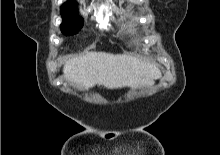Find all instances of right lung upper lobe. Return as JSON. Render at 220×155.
Masks as SVG:
<instances>
[{
    "instance_id": "1",
    "label": "right lung upper lobe",
    "mask_w": 220,
    "mask_h": 155,
    "mask_svg": "<svg viewBox=\"0 0 220 155\" xmlns=\"http://www.w3.org/2000/svg\"><path fill=\"white\" fill-rule=\"evenodd\" d=\"M67 3H71V4H74V3H73V1H68Z\"/></svg>"
}]
</instances>
